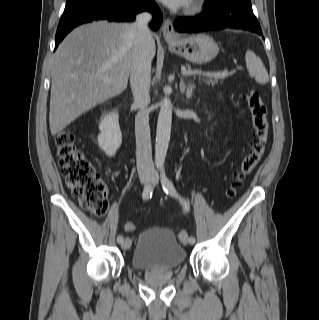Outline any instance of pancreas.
<instances>
[{
	"instance_id": "1",
	"label": "pancreas",
	"mask_w": 319,
	"mask_h": 320,
	"mask_svg": "<svg viewBox=\"0 0 319 320\" xmlns=\"http://www.w3.org/2000/svg\"><path fill=\"white\" fill-rule=\"evenodd\" d=\"M220 79H217V78H213V77H203V81L206 83V84H211V85H216L218 82H219Z\"/></svg>"
}]
</instances>
